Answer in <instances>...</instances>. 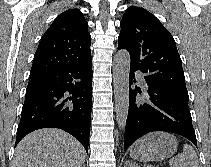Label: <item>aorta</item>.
<instances>
[{
    "instance_id": "762f6f07",
    "label": "aorta",
    "mask_w": 211,
    "mask_h": 167,
    "mask_svg": "<svg viewBox=\"0 0 211 167\" xmlns=\"http://www.w3.org/2000/svg\"><path fill=\"white\" fill-rule=\"evenodd\" d=\"M130 55L127 50L118 51L114 57L113 63V82L115 112L118 126L123 130L126 126V120L129 109V72Z\"/></svg>"
}]
</instances>
